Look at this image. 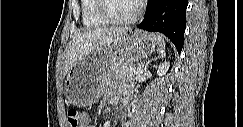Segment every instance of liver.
Instances as JSON below:
<instances>
[{
  "label": "liver",
  "instance_id": "obj_1",
  "mask_svg": "<svg viewBox=\"0 0 243 127\" xmlns=\"http://www.w3.org/2000/svg\"><path fill=\"white\" fill-rule=\"evenodd\" d=\"M128 28H100L78 31L72 38L65 55L63 76L86 56L100 51L114 38L121 35Z\"/></svg>",
  "mask_w": 243,
  "mask_h": 127
}]
</instances>
